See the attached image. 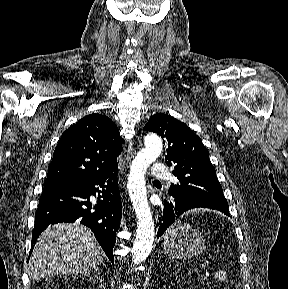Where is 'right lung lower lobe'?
I'll return each mask as SVG.
<instances>
[{
	"instance_id": "1",
	"label": "right lung lower lobe",
	"mask_w": 288,
	"mask_h": 289,
	"mask_svg": "<svg viewBox=\"0 0 288 289\" xmlns=\"http://www.w3.org/2000/svg\"><path fill=\"white\" fill-rule=\"evenodd\" d=\"M118 166L88 177L44 187L35 214L32 249L39 234L49 225L79 221L94 233L114 265L113 247L121 220ZM98 195L96 204L89 200Z\"/></svg>"
}]
</instances>
